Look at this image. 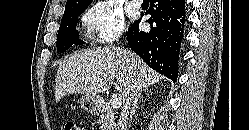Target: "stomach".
<instances>
[{"mask_svg": "<svg viewBox=\"0 0 249 130\" xmlns=\"http://www.w3.org/2000/svg\"><path fill=\"white\" fill-rule=\"evenodd\" d=\"M79 103L81 108L90 114H96L100 109V99L97 96L84 95Z\"/></svg>", "mask_w": 249, "mask_h": 130, "instance_id": "obj_1", "label": "stomach"}]
</instances>
